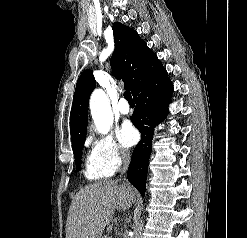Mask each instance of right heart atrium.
Wrapping results in <instances>:
<instances>
[{"mask_svg": "<svg viewBox=\"0 0 247 238\" xmlns=\"http://www.w3.org/2000/svg\"><path fill=\"white\" fill-rule=\"evenodd\" d=\"M92 144L93 150L112 172L117 171L129 158V151L112 134L96 137Z\"/></svg>", "mask_w": 247, "mask_h": 238, "instance_id": "obj_1", "label": "right heart atrium"}]
</instances>
